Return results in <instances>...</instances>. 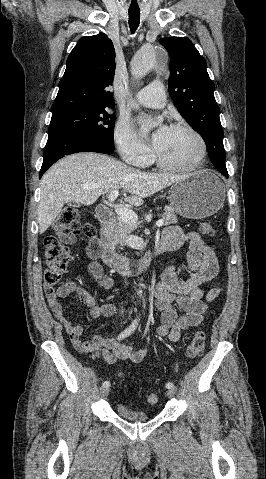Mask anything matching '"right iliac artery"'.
Returning a JSON list of instances; mask_svg holds the SVG:
<instances>
[{
	"label": "right iliac artery",
	"mask_w": 266,
	"mask_h": 479,
	"mask_svg": "<svg viewBox=\"0 0 266 479\" xmlns=\"http://www.w3.org/2000/svg\"><path fill=\"white\" fill-rule=\"evenodd\" d=\"M137 325H138V319H135V320L129 325L128 328H126L123 332H121V333L118 335V338H117V339H118V340H121V339H124V338H126L127 336L131 335V334L135 331ZM102 386H103V387H109V386H110V382L105 381V382H103Z\"/></svg>",
	"instance_id": "obj_1"
}]
</instances>
